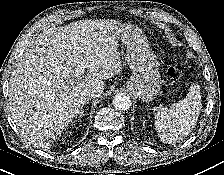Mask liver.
<instances>
[{
    "instance_id": "1",
    "label": "liver",
    "mask_w": 224,
    "mask_h": 175,
    "mask_svg": "<svg viewBox=\"0 0 224 175\" xmlns=\"http://www.w3.org/2000/svg\"><path fill=\"white\" fill-rule=\"evenodd\" d=\"M116 20H81L45 29L20 56L11 72L9 107L20 134L47 149L79 113L81 93L95 90L122 69ZM80 68L87 75H77Z\"/></svg>"
}]
</instances>
